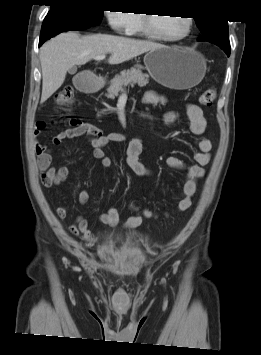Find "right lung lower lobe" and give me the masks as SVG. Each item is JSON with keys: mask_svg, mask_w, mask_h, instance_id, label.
<instances>
[{"mask_svg": "<svg viewBox=\"0 0 261 355\" xmlns=\"http://www.w3.org/2000/svg\"><path fill=\"white\" fill-rule=\"evenodd\" d=\"M92 27L82 19L68 14L46 16L41 29L39 46L56 34L64 31L84 30Z\"/></svg>", "mask_w": 261, "mask_h": 355, "instance_id": "obj_1", "label": "right lung lower lobe"}]
</instances>
